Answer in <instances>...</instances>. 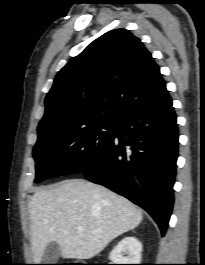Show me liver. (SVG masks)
<instances>
[{
    "label": "liver",
    "mask_w": 205,
    "mask_h": 265,
    "mask_svg": "<svg viewBox=\"0 0 205 265\" xmlns=\"http://www.w3.org/2000/svg\"><path fill=\"white\" fill-rule=\"evenodd\" d=\"M29 208L36 264L50 242L58 243L63 258H93L143 219L141 210L126 198L82 179L37 190Z\"/></svg>",
    "instance_id": "obj_1"
}]
</instances>
